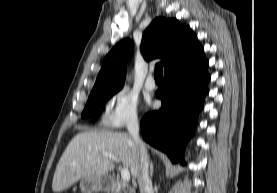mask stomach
<instances>
[{"mask_svg": "<svg viewBox=\"0 0 277 193\" xmlns=\"http://www.w3.org/2000/svg\"><path fill=\"white\" fill-rule=\"evenodd\" d=\"M113 188V180L108 175L89 176L82 178L80 181V189L82 193L109 192Z\"/></svg>", "mask_w": 277, "mask_h": 193, "instance_id": "1", "label": "stomach"}]
</instances>
